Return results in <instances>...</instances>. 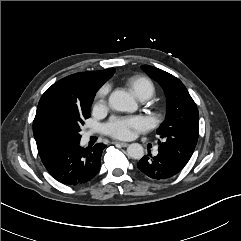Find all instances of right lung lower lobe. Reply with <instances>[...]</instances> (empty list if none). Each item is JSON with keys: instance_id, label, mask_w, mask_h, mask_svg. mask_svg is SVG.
Here are the masks:
<instances>
[{"instance_id": "1", "label": "right lung lower lobe", "mask_w": 241, "mask_h": 241, "mask_svg": "<svg viewBox=\"0 0 241 241\" xmlns=\"http://www.w3.org/2000/svg\"><path fill=\"white\" fill-rule=\"evenodd\" d=\"M106 146L96 144L83 148L80 140L56 146L42 154L41 160L57 181L66 185H82L98 173L102 151Z\"/></svg>"}]
</instances>
